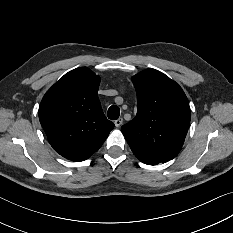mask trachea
<instances>
[{
  "instance_id": "trachea-1",
  "label": "trachea",
  "mask_w": 233,
  "mask_h": 233,
  "mask_svg": "<svg viewBox=\"0 0 233 233\" xmlns=\"http://www.w3.org/2000/svg\"><path fill=\"white\" fill-rule=\"evenodd\" d=\"M107 116L111 120H116L120 116V109L118 106L112 105L107 111Z\"/></svg>"
}]
</instances>
